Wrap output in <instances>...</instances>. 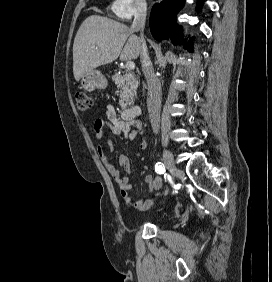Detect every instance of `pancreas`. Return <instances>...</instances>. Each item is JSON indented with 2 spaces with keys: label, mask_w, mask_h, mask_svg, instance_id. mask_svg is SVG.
<instances>
[{
  "label": "pancreas",
  "mask_w": 272,
  "mask_h": 282,
  "mask_svg": "<svg viewBox=\"0 0 272 282\" xmlns=\"http://www.w3.org/2000/svg\"><path fill=\"white\" fill-rule=\"evenodd\" d=\"M112 80L120 88V105L128 106L133 103V98L136 96V89L139 81L134 73L128 71L124 75L115 73Z\"/></svg>",
  "instance_id": "pancreas-1"
}]
</instances>
